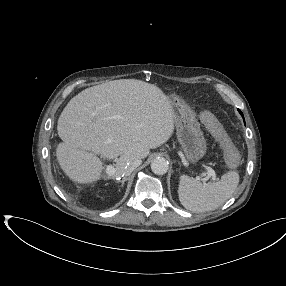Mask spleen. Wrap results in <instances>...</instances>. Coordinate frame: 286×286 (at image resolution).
Listing matches in <instances>:
<instances>
[{"instance_id": "spleen-1", "label": "spleen", "mask_w": 286, "mask_h": 286, "mask_svg": "<svg viewBox=\"0 0 286 286\" xmlns=\"http://www.w3.org/2000/svg\"><path fill=\"white\" fill-rule=\"evenodd\" d=\"M239 183L236 171L225 173L217 182L201 183L199 180L182 175L178 195L181 204L193 212L212 211L222 206L235 192Z\"/></svg>"}]
</instances>
